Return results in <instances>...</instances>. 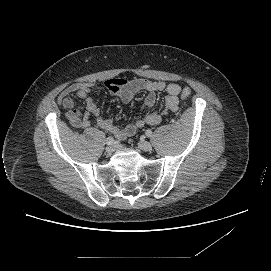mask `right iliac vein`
I'll return each instance as SVG.
<instances>
[{
    "label": "right iliac vein",
    "mask_w": 271,
    "mask_h": 271,
    "mask_svg": "<svg viewBox=\"0 0 271 271\" xmlns=\"http://www.w3.org/2000/svg\"><path fill=\"white\" fill-rule=\"evenodd\" d=\"M114 151H115V146L114 145L111 144V145H109V146L106 147V152L107 153L111 154Z\"/></svg>",
    "instance_id": "63e3f726"
}]
</instances>
